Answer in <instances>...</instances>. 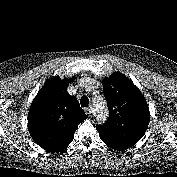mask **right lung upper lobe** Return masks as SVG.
I'll return each mask as SVG.
<instances>
[{"label":"right lung upper lobe","instance_id":"obj_1","mask_svg":"<svg viewBox=\"0 0 177 177\" xmlns=\"http://www.w3.org/2000/svg\"><path fill=\"white\" fill-rule=\"evenodd\" d=\"M75 78L48 80L34 98L28 113V130L41 147L53 146L59 152L73 140L78 125L87 119L78 100L68 94Z\"/></svg>","mask_w":177,"mask_h":177}]
</instances>
